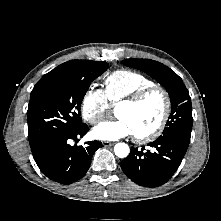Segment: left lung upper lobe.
Segmentation results:
<instances>
[{
    "label": "left lung upper lobe",
    "mask_w": 221,
    "mask_h": 221,
    "mask_svg": "<svg viewBox=\"0 0 221 221\" xmlns=\"http://www.w3.org/2000/svg\"><path fill=\"white\" fill-rule=\"evenodd\" d=\"M122 63L144 71L164 86L169 93L171 114L160 137H172L189 143L193 125L192 105L182 79L173 70L154 60L127 59Z\"/></svg>",
    "instance_id": "5c2ea615"
}]
</instances>
